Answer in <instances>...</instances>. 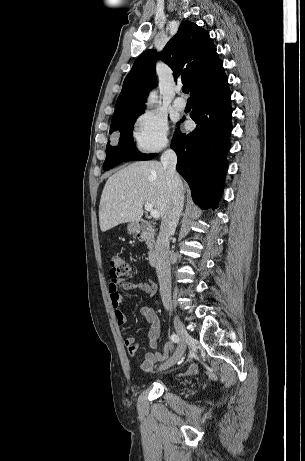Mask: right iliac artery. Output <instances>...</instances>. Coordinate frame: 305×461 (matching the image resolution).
Listing matches in <instances>:
<instances>
[{"label": "right iliac artery", "instance_id": "1", "mask_svg": "<svg viewBox=\"0 0 305 461\" xmlns=\"http://www.w3.org/2000/svg\"><path fill=\"white\" fill-rule=\"evenodd\" d=\"M170 339H171V341L174 342V343H178V342H179V336L176 335V334H172V335L170 336Z\"/></svg>", "mask_w": 305, "mask_h": 461}]
</instances>
